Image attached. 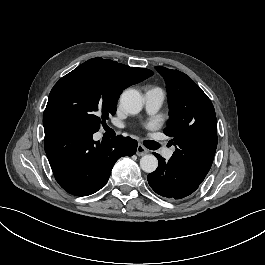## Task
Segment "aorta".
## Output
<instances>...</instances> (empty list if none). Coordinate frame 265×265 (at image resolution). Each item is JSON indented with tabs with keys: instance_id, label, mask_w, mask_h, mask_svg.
Masks as SVG:
<instances>
[{
	"instance_id": "762f6f07",
	"label": "aorta",
	"mask_w": 265,
	"mask_h": 265,
	"mask_svg": "<svg viewBox=\"0 0 265 265\" xmlns=\"http://www.w3.org/2000/svg\"><path fill=\"white\" fill-rule=\"evenodd\" d=\"M143 97L135 89L125 90L120 97V105L129 114H138L143 107ZM140 167L146 173L154 172L158 167V160L154 155H144L140 159Z\"/></svg>"
}]
</instances>
